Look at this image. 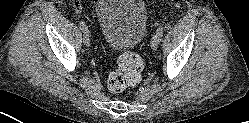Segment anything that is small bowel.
<instances>
[{
	"label": "small bowel",
	"instance_id": "1",
	"mask_svg": "<svg viewBox=\"0 0 249 123\" xmlns=\"http://www.w3.org/2000/svg\"><path fill=\"white\" fill-rule=\"evenodd\" d=\"M75 8H76V10H79V9H80V7H79L78 5H77Z\"/></svg>",
	"mask_w": 249,
	"mask_h": 123
}]
</instances>
